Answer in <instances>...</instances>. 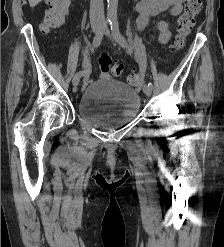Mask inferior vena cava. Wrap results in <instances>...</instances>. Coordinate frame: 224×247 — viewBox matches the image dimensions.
<instances>
[{
    "mask_svg": "<svg viewBox=\"0 0 224 247\" xmlns=\"http://www.w3.org/2000/svg\"><path fill=\"white\" fill-rule=\"evenodd\" d=\"M90 22L104 24L103 0H90Z\"/></svg>",
    "mask_w": 224,
    "mask_h": 247,
    "instance_id": "obj_1",
    "label": "inferior vena cava"
}]
</instances>
